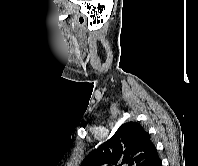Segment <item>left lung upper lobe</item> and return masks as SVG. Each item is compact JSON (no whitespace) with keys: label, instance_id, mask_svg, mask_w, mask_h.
I'll list each match as a JSON object with an SVG mask.
<instances>
[{"label":"left lung upper lobe","instance_id":"left-lung-upper-lobe-1","mask_svg":"<svg viewBox=\"0 0 198 166\" xmlns=\"http://www.w3.org/2000/svg\"><path fill=\"white\" fill-rule=\"evenodd\" d=\"M156 154L149 133L140 124L128 122L90 152L81 166H149Z\"/></svg>","mask_w":198,"mask_h":166}]
</instances>
